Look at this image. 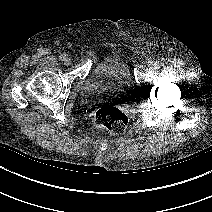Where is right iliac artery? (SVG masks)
<instances>
[{
    "mask_svg": "<svg viewBox=\"0 0 212 212\" xmlns=\"http://www.w3.org/2000/svg\"><path fill=\"white\" fill-rule=\"evenodd\" d=\"M65 58H66V55H65V54H61V55L59 56V59H60L61 61H64Z\"/></svg>",
    "mask_w": 212,
    "mask_h": 212,
    "instance_id": "obj_1",
    "label": "right iliac artery"
}]
</instances>
